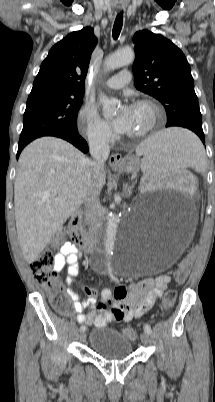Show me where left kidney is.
Masks as SVG:
<instances>
[{
  "mask_svg": "<svg viewBox=\"0 0 215 402\" xmlns=\"http://www.w3.org/2000/svg\"><path fill=\"white\" fill-rule=\"evenodd\" d=\"M143 178V187H162L166 184H174L167 186V191L174 193H196L198 190L192 170L190 169H147Z\"/></svg>",
  "mask_w": 215,
  "mask_h": 402,
  "instance_id": "5707ae66",
  "label": "left kidney"
}]
</instances>
